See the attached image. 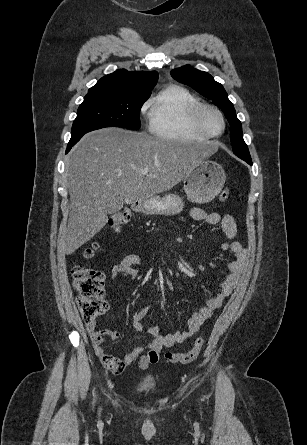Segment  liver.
<instances>
[{
    "instance_id": "6515ba94",
    "label": "liver",
    "mask_w": 307,
    "mask_h": 445,
    "mask_svg": "<svg viewBox=\"0 0 307 445\" xmlns=\"http://www.w3.org/2000/svg\"><path fill=\"white\" fill-rule=\"evenodd\" d=\"M203 156L205 148L191 142L115 126L85 134L67 162L70 210L60 241L64 255H72L95 237L105 227L107 214L120 210L124 202L173 188ZM140 168H149L148 174Z\"/></svg>"
}]
</instances>
